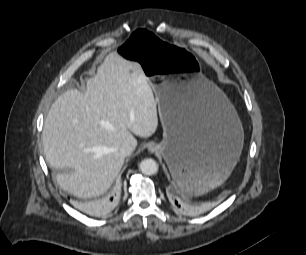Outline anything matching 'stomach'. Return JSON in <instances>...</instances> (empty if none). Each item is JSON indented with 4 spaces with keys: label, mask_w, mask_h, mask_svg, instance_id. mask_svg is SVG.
Here are the masks:
<instances>
[{
    "label": "stomach",
    "mask_w": 306,
    "mask_h": 255,
    "mask_svg": "<svg viewBox=\"0 0 306 255\" xmlns=\"http://www.w3.org/2000/svg\"><path fill=\"white\" fill-rule=\"evenodd\" d=\"M118 54L140 65L155 94L163 127L155 151L176 184L193 194L222 184L241 155L244 132L225 94L201 73L197 57L149 29L134 30Z\"/></svg>",
    "instance_id": "stomach-1"
}]
</instances>
